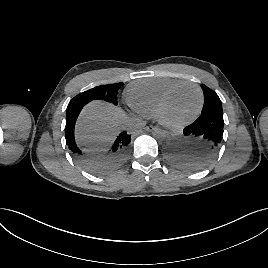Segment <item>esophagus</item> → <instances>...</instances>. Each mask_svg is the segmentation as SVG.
Returning <instances> with one entry per match:
<instances>
[{
  "instance_id": "esophagus-1",
  "label": "esophagus",
  "mask_w": 268,
  "mask_h": 268,
  "mask_svg": "<svg viewBox=\"0 0 268 268\" xmlns=\"http://www.w3.org/2000/svg\"><path fill=\"white\" fill-rule=\"evenodd\" d=\"M144 129H145L146 131H149V132L159 131V128H158V127H155V126H152V125H150V126H146Z\"/></svg>"
}]
</instances>
